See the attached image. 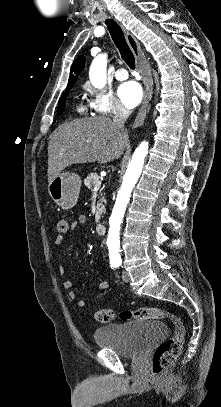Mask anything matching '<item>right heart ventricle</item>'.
Here are the masks:
<instances>
[{"label": "right heart ventricle", "instance_id": "right-heart-ventricle-1", "mask_svg": "<svg viewBox=\"0 0 221 407\" xmlns=\"http://www.w3.org/2000/svg\"><path fill=\"white\" fill-rule=\"evenodd\" d=\"M75 109H76V112L79 113V114H86L88 107L83 102L79 101L76 104Z\"/></svg>", "mask_w": 221, "mask_h": 407}]
</instances>
